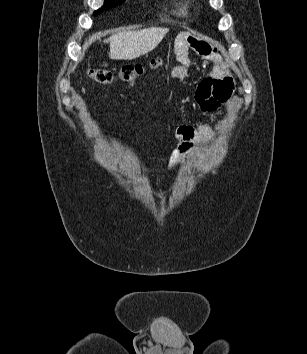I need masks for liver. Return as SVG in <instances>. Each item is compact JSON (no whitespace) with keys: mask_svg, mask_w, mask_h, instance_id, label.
Listing matches in <instances>:
<instances>
[{"mask_svg":"<svg viewBox=\"0 0 307 354\" xmlns=\"http://www.w3.org/2000/svg\"><path fill=\"white\" fill-rule=\"evenodd\" d=\"M168 28H147L125 31L109 38L112 60H133L153 51L168 33Z\"/></svg>","mask_w":307,"mask_h":354,"instance_id":"obj_1","label":"liver"}]
</instances>
